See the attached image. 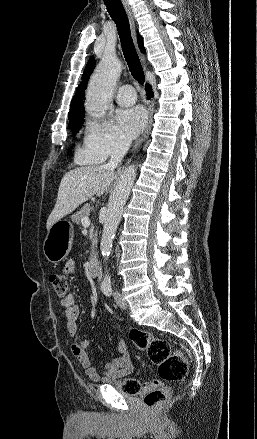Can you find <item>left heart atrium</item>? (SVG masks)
<instances>
[{"mask_svg": "<svg viewBox=\"0 0 257 439\" xmlns=\"http://www.w3.org/2000/svg\"><path fill=\"white\" fill-rule=\"evenodd\" d=\"M146 118V111L140 106L121 109L117 112V120L128 136L137 135L143 129Z\"/></svg>", "mask_w": 257, "mask_h": 439, "instance_id": "1", "label": "left heart atrium"}]
</instances>
